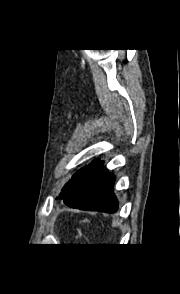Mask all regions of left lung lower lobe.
Returning <instances> with one entry per match:
<instances>
[{
    "label": "left lung lower lobe",
    "instance_id": "0a47b994",
    "mask_svg": "<svg viewBox=\"0 0 180 294\" xmlns=\"http://www.w3.org/2000/svg\"><path fill=\"white\" fill-rule=\"evenodd\" d=\"M103 161H92L75 179L71 189L63 198L72 208L114 213L118 203L113 195L115 177L103 168Z\"/></svg>",
    "mask_w": 180,
    "mask_h": 294
}]
</instances>
